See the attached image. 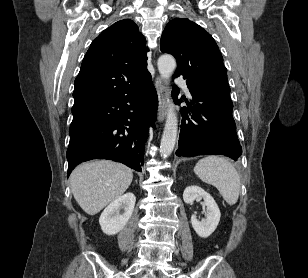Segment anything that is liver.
<instances>
[{
    "label": "liver",
    "mask_w": 308,
    "mask_h": 278,
    "mask_svg": "<svg viewBox=\"0 0 308 278\" xmlns=\"http://www.w3.org/2000/svg\"><path fill=\"white\" fill-rule=\"evenodd\" d=\"M133 173L127 166L95 160L76 167L70 176L73 196L89 215H95L105 206L120 198L128 189Z\"/></svg>",
    "instance_id": "obj_1"
}]
</instances>
